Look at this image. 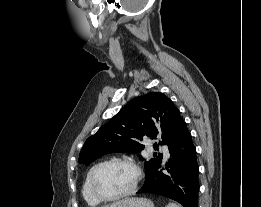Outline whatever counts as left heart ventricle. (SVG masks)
<instances>
[{"label": "left heart ventricle", "mask_w": 261, "mask_h": 207, "mask_svg": "<svg viewBox=\"0 0 261 207\" xmlns=\"http://www.w3.org/2000/svg\"><path fill=\"white\" fill-rule=\"evenodd\" d=\"M135 178L134 170L124 164L104 167L97 176V188L104 196H114L128 190Z\"/></svg>", "instance_id": "obj_1"}]
</instances>
